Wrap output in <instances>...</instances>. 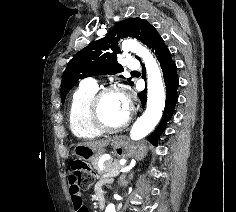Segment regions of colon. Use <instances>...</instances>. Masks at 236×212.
Masks as SVG:
<instances>
[{
    "instance_id": "5ec220e1",
    "label": "colon",
    "mask_w": 236,
    "mask_h": 212,
    "mask_svg": "<svg viewBox=\"0 0 236 212\" xmlns=\"http://www.w3.org/2000/svg\"><path fill=\"white\" fill-rule=\"evenodd\" d=\"M70 175H78L82 185L91 186L95 179L94 171L82 161H72L70 163Z\"/></svg>"
}]
</instances>
